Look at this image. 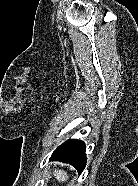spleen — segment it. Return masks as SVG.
<instances>
[{"instance_id": "spleen-1", "label": "spleen", "mask_w": 138, "mask_h": 186, "mask_svg": "<svg viewBox=\"0 0 138 186\" xmlns=\"http://www.w3.org/2000/svg\"><path fill=\"white\" fill-rule=\"evenodd\" d=\"M53 175L59 182H65L68 179L67 173L63 170H55Z\"/></svg>"}]
</instances>
